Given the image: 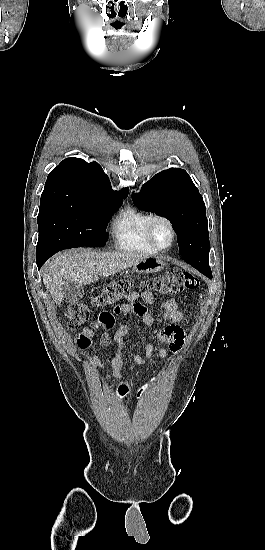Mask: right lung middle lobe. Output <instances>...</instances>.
Instances as JSON below:
<instances>
[{
	"label": "right lung middle lobe",
	"instance_id": "1",
	"mask_svg": "<svg viewBox=\"0 0 265 550\" xmlns=\"http://www.w3.org/2000/svg\"><path fill=\"white\" fill-rule=\"evenodd\" d=\"M122 203L123 199L106 198L40 200L37 255L51 257L63 249L104 246L107 223Z\"/></svg>",
	"mask_w": 265,
	"mask_h": 550
}]
</instances>
